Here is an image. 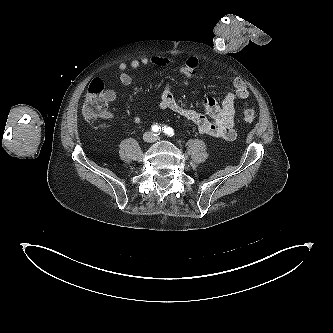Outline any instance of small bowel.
I'll list each match as a JSON object with an SVG mask.
<instances>
[{"label":"small bowel","instance_id":"1","mask_svg":"<svg viewBox=\"0 0 333 333\" xmlns=\"http://www.w3.org/2000/svg\"><path fill=\"white\" fill-rule=\"evenodd\" d=\"M175 63H177L175 59L162 56L143 57L129 62H122L119 64V80L123 86L129 87L133 82L132 76L128 73L129 70H135L149 64L165 67ZM198 64L196 57H189L181 63L179 71L186 76H193ZM230 81L234 91L227 93L221 104L213 98H205L203 100L202 107L210 118L180 103L174 97L169 85L163 88L157 109L160 111L170 110L181 115L192 122L201 134L228 141L234 140L236 138L234 129L235 103L237 99H247L249 91L245 82L240 78L230 76ZM104 98L108 103L114 102L117 99V92L113 89H107L104 91ZM111 117L112 114L110 112H107L104 116V118ZM143 119L142 115H136L133 120L136 124H140Z\"/></svg>","mask_w":333,"mask_h":333}]
</instances>
